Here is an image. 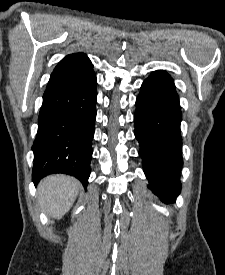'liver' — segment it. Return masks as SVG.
Here are the masks:
<instances>
[{
  "label": "liver",
  "instance_id": "6515ba94",
  "mask_svg": "<svg viewBox=\"0 0 225 275\" xmlns=\"http://www.w3.org/2000/svg\"><path fill=\"white\" fill-rule=\"evenodd\" d=\"M80 183L66 175H51L38 186L39 203L46 213L56 219L63 217L71 208Z\"/></svg>",
  "mask_w": 225,
  "mask_h": 275
}]
</instances>
